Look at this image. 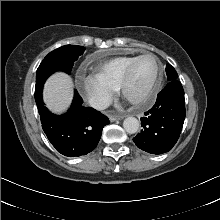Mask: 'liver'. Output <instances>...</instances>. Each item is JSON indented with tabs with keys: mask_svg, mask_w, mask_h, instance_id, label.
<instances>
[{
	"mask_svg": "<svg viewBox=\"0 0 220 220\" xmlns=\"http://www.w3.org/2000/svg\"><path fill=\"white\" fill-rule=\"evenodd\" d=\"M73 82L68 75L58 72L53 74L44 86V101L55 112L67 109L72 100Z\"/></svg>",
	"mask_w": 220,
	"mask_h": 220,
	"instance_id": "1",
	"label": "liver"
}]
</instances>
